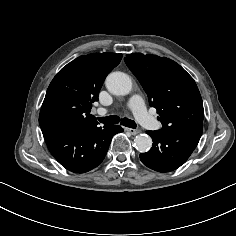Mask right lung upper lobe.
<instances>
[{"label": "right lung upper lobe", "mask_w": 236, "mask_h": 236, "mask_svg": "<svg viewBox=\"0 0 236 236\" xmlns=\"http://www.w3.org/2000/svg\"><path fill=\"white\" fill-rule=\"evenodd\" d=\"M122 54L92 53L76 58L53 78L39 115L41 130L91 127L98 122L90 115L92 103L108 73Z\"/></svg>", "instance_id": "right-lung-upper-lobe-1"}]
</instances>
